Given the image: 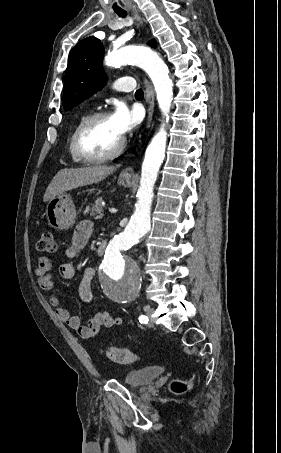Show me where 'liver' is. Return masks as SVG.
Masks as SVG:
<instances>
[{
    "label": "liver",
    "instance_id": "obj_1",
    "mask_svg": "<svg viewBox=\"0 0 281 453\" xmlns=\"http://www.w3.org/2000/svg\"><path fill=\"white\" fill-rule=\"evenodd\" d=\"M116 168L117 166H106V164L82 166V168H61L48 184L43 200L46 202L50 198H55L58 194H63L65 190L100 182L108 174L115 172Z\"/></svg>",
    "mask_w": 281,
    "mask_h": 453
}]
</instances>
